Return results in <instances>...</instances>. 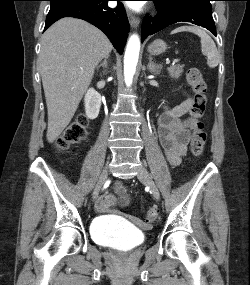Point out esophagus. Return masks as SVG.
<instances>
[{
    "label": "esophagus",
    "instance_id": "34e87169",
    "mask_svg": "<svg viewBox=\"0 0 250 285\" xmlns=\"http://www.w3.org/2000/svg\"><path fill=\"white\" fill-rule=\"evenodd\" d=\"M127 15H128V20H129L130 26L133 29H137L139 27V24H140L139 18L132 11H128Z\"/></svg>",
    "mask_w": 250,
    "mask_h": 285
}]
</instances>
